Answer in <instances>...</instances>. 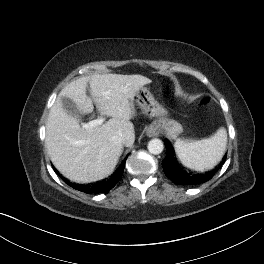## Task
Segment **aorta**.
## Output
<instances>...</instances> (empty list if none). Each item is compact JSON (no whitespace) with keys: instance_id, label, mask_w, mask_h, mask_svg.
<instances>
[{"instance_id":"aorta-1","label":"aorta","mask_w":264,"mask_h":264,"mask_svg":"<svg viewBox=\"0 0 264 264\" xmlns=\"http://www.w3.org/2000/svg\"><path fill=\"white\" fill-rule=\"evenodd\" d=\"M147 148L151 154L157 155L162 153L164 145L160 139L155 138L149 141Z\"/></svg>"}]
</instances>
